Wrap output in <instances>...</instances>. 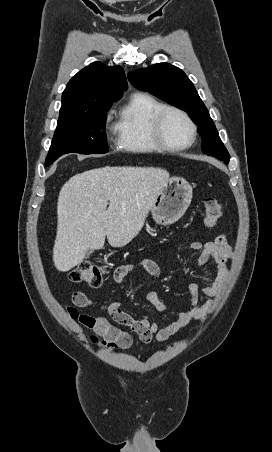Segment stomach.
I'll return each mask as SVG.
<instances>
[{"mask_svg": "<svg viewBox=\"0 0 272 452\" xmlns=\"http://www.w3.org/2000/svg\"><path fill=\"white\" fill-rule=\"evenodd\" d=\"M191 200V185L184 178L170 177L155 198L152 217L159 225H171L184 215Z\"/></svg>", "mask_w": 272, "mask_h": 452, "instance_id": "obj_1", "label": "stomach"}]
</instances>
